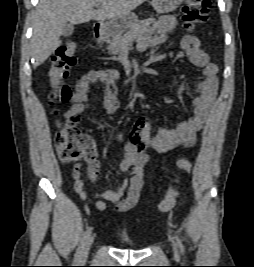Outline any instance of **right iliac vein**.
Instances as JSON below:
<instances>
[{
  "instance_id": "1",
  "label": "right iliac vein",
  "mask_w": 254,
  "mask_h": 267,
  "mask_svg": "<svg viewBox=\"0 0 254 267\" xmlns=\"http://www.w3.org/2000/svg\"><path fill=\"white\" fill-rule=\"evenodd\" d=\"M94 241V237L93 236H89L87 238V240L85 241V244L83 246V249H82V252H81V256H80V261L81 262H85L87 257H88V254H89V250H90V247L92 245Z\"/></svg>"
}]
</instances>
